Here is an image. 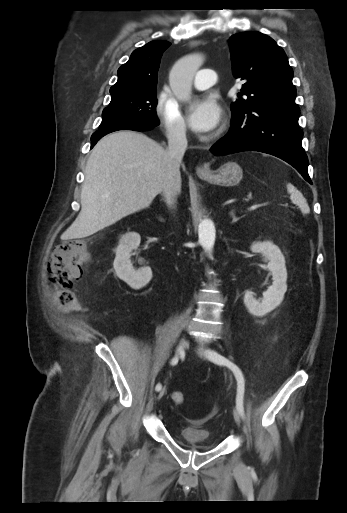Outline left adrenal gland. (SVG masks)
Returning a JSON list of instances; mask_svg holds the SVG:
<instances>
[{"label": "left adrenal gland", "mask_w": 347, "mask_h": 513, "mask_svg": "<svg viewBox=\"0 0 347 513\" xmlns=\"http://www.w3.org/2000/svg\"><path fill=\"white\" fill-rule=\"evenodd\" d=\"M230 216L232 217V223H235L240 219L236 217L234 210H231Z\"/></svg>", "instance_id": "1"}]
</instances>
